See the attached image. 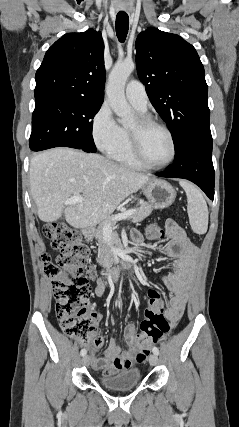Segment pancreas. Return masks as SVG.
Segmentation results:
<instances>
[{"instance_id":"obj_1","label":"pancreas","mask_w":239,"mask_h":427,"mask_svg":"<svg viewBox=\"0 0 239 427\" xmlns=\"http://www.w3.org/2000/svg\"><path fill=\"white\" fill-rule=\"evenodd\" d=\"M139 204L140 206L138 209H136L134 214L128 217V219H131L134 223L141 222L142 220H144L151 214L153 210V206L147 202L140 201ZM116 222L117 221L113 220L112 216L101 224H99V226L95 230V238L97 239L98 245V262L103 266H111L114 263L113 253L104 239V225L110 224L111 227L114 228Z\"/></svg>"}]
</instances>
